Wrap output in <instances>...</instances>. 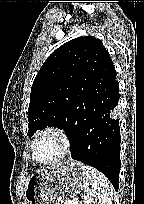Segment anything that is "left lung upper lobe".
Masks as SVG:
<instances>
[{"label": "left lung upper lobe", "instance_id": "1", "mask_svg": "<svg viewBox=\"0 0 144 204\" xmlns=\"http://www.w3.org/2000/svg\"><path fill=\"white\" fill-rule=\"evenodd\" d=\"M111 62L100 39L78 37L56 49L34 79L28 108L29 132L55 126L70 138L79 128L89 85L98 66Z\"/></svg>", "mask_w": 144, "mask_h": 204}]
</instances>
